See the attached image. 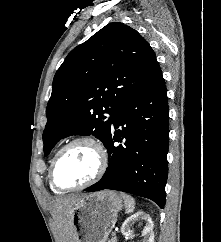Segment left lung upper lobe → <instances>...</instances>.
Segmentation results:
<instances>
[{
  "label": "left lung upper lobe",
  "instance_id": "1",
  "mask_svg": "<svg viewBox=\"0 0 221 242\" xmlns=\"http://www.w3.org/2000/svg\"><path fill=\"white\" fill-rule=\"evenodd\" d=\"M158 68L148 42L120 22L106 25L74 48L53 80L46 108L44 155L70 135L92 134L105 143L120 108Z\"/></svg>",
  "mask_w": 221,
  "mask_h": 242
}]
</instances>
